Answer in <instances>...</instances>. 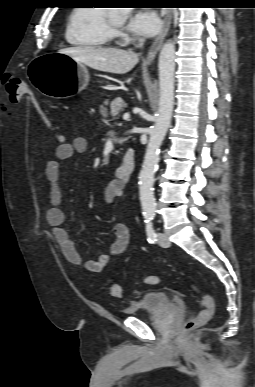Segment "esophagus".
<instances>
[{"label":"esophagus","instance_id":"obj_1","mask_svg":"<svg viewBox=\"0 0 255 387\" xmlns=\"http://www.w3.org/2000/svg\"><path fill=\"white\" fill-rule=\"evenodd\" d=\"M163 12H164V19H163L162 29L149 48V51H148L146 59H145V64H150L153 62L158 51L160 50V48L162 46V43L164 41L165 36L167 35V33L169 31L171 21H172V10L171 9H164Z\"/></svg>","mask_w":255,"mask_h":387}]
</instances>
